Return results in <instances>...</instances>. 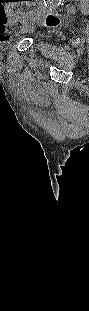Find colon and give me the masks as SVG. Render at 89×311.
Here are the masks:
<instances>
[{
  "label": "colon",
  "instance_id": "colon-1",
  "mask_svg": "<svg viewBox=\"0 0 89 311\" xmlns=\"http://www.w3.org/2000/svg\"><path fill=\"white\" fill-rule=\"evenodd\" d=\"M3 20L6 21V16L4 15L3 16ZM59 21V18L54 15V14H49L47 17H46V22H45V25L48 26V27H51V26H55ZM22 27V24H15L13 26L14 29H21Z\"/></svg>",
  "mask_w": 89,
  "mask_h": 311
}]
</instances>
